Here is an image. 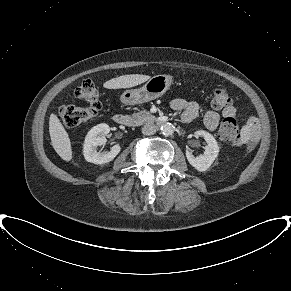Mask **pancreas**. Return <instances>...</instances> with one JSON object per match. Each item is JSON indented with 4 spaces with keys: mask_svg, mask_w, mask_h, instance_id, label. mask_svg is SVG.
<instances>
[{
    "mask_svg": "<svg viewBox=\"0 0 291 291\" xmlns=\"http://www.w3.org/2000/svg\"><path fill=\"white\" fill-rule=\"evenodd\" d=\"M153 116L149 111H141L138 113H133L132 115V125L133 126H140L144 124L145 122L152 121Z\"/></svg>",
    "mask_w": 291,
    "mask_h": 291,
    "instance_id": "obj_1",
    "label": "pancreas"
}]
</instances>
